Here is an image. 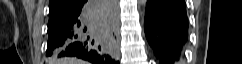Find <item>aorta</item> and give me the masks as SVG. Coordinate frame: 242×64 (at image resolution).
<instances>
[{"instance_id":"obj_1","label":"aorta","mask_w":242,"mask_h":64,"mask_svg":"<svg viewBox=\"0 0 242 64\" xmlns=\"http://www.w3.org/2000/svg\"><path fill=\"white\" fill-rule=\"evenodd\" d=\"M139 3H140L142 6H144V7H145V5H146L147 1H146V0H139Z\"/></svg>"}]
</instances>
